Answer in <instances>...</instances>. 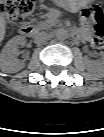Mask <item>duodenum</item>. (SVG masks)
Instances as JSON below:
<instances>
[{
  "label": "duodenum",
  "instance_id": "1",
  "mask_svg": "<svg viewBox=\"0 0 104 137\" xmlns=\"http://www.w3.org/2000/svg\"><path fill=\"white\" fill-rule=\"evenodd\" d=\"M36 31V28L33 27L32 25H22L20 27V33L23 35V36H27V37H30L32 36ZM77 37L78 38H81L83 37V33L82 32H77Z\"/></svg>",
  "mask_w": 104,
  "mask_h": 137
}]
</instances>
